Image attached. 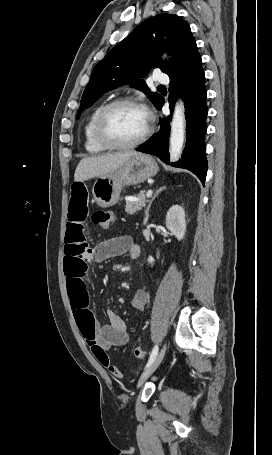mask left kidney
I'll return each instance as SVG.
<instances>
[{
    "mask_svg": "<svg viewBox=\"0 0 272 455\" xmlns=\"http://www.w3.org/2000/svg\"><path fill=\"white\" fill-rule=\"evenodd\" d=\"M166 226L178 240L183 239L186 232L185 212L179 205H173L166 216ZM148 262L153 264L154 258L149 256Z\"/></svg>",
    "mask_w": 272,
    "mask_h": 455,
    "instance_id": "obj_1",
    "label": "left kidney"
}]
</instances>
